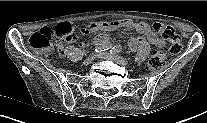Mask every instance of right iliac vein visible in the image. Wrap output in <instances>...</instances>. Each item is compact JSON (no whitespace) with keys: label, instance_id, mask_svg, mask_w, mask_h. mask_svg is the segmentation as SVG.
Instances as JSON below:
<instances>
[{"label":"right iliac vein","instance_id":"obj_1","mask_svg":"<svg viewBox=\"0 0 207 123\" xmlns=\"http://www.w3.org/2000/svg\"><path fill=\"white\" fill-rule=\"evenodd\" d=\"M95 57H96V55H91V56H89L88 58H86V59L84 60L83 64H84V65H89V64H91V63L94 61Z\"/></svg>","mask_w":207,"mask_h":123}]
</instances>
